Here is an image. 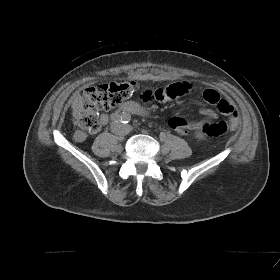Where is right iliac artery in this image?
Wrapping results in <instances>:
<instances>
[{
    "mask_svg": "<svg viewBox=\"0 0 280 280\" xmlns=\"http://www.w3.org/2000/svg\"><path fill=\"white\" fill-rule=\"evenodd\" d=\"M121 118H122V114L118 112L111 115V120L115 122L120 121Z\"/></svg>",
    "mask_w": 280,
    "mask_h": 280,
    "instance_id": "obj_1",
    "label": "right iliac artery"
}]
</instances>
